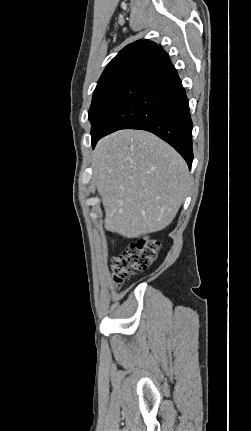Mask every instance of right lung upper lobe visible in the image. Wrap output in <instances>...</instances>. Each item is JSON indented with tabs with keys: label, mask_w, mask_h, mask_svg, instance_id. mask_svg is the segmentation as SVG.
I'll use <instances>...</instances> for the list:
<instances>
[{
	"label": "right lung upper lobe",
	"mask_w": 251,
	"mask_h": 431,
	"mask_svg": "<svg viewBox=\"0 0 251 431\" xmlns=\"http://www.w3.org/2000/svg\"><path fill=\"white\" fill-rule=\"evenodd\" d=\"M161 49V46H157L156 43L147 39L137 40L125 46L106 66L99 81H102L109 74L125 65L136 62H146L149 64L151 59Z\"/></svg>",
	"instance_id": "cb5924a9"
}]
</instances>
